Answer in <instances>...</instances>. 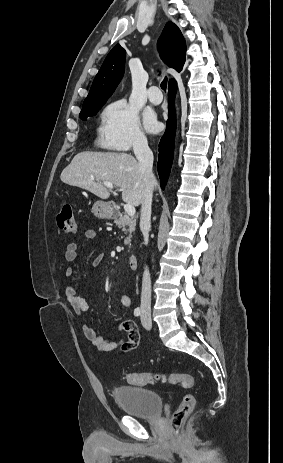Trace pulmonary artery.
I'll return each instance as SVG.
<instances>
[{"mask_svg": "<svg viewBox=\"0 0 283 463\" xmlns=\"http://www.w3.org/2000/svg\"><path fill=\"white\" fill-rule=\"evenodd\" d=\"M147 96H148L149 101L154 105H157V104L161 103V101H162V96L160 94V90L155 85L151 86L148 89Z\"/></svg>", "mask_w": 283, "mask_h": 463, "instance_id": "1", "label": "pulmonary artery"}]
</instances>
